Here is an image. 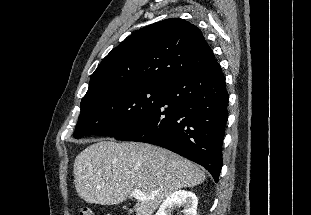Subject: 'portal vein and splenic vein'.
<instances>
[{"label":"portal vein and splenic vein","instance_id":"1","mask_svg":"<svg viewBox=\"0 0 311 215\" xmlns=\"http://www.w3.org/2000/svg\"><path fill=\"white\" fill-rule=\"evenodd\" d=\"M132 196L136 199L147 200V197L145 196V194H143L140 190H133Z\"/></svg>","mask_w":311,"mask_h":215}]
</instances>
